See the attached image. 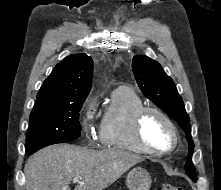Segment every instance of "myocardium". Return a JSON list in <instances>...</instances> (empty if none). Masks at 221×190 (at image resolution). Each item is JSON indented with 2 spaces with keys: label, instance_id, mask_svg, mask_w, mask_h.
I'll return each instance as SVG.
<instances>
[{
  "label": "myocardium",
  "instance_id": "myocardium-1",
  "mask_svg": "<svg viewBox=\"0 0 221 190\" xmlns=\"http://www.w3.org/2000/svg\"><path fill=\"white\" fill-rule=\"evenodd\" d=\"M149 113H154L158 115L160 118L164 120V122L170 128L171 133L173 135V143L169 148L157 150V149L150 147L145 142L142 136V126H143V121L145 117ZM132 133H133L134 140L137 143V145L140 147V149L144 153L152 155V156H163V155L171 153L178 147L179 141H180L179 133L174 122L164 111L154 106H144L136 112L134 119H133Z\"/></svg>",
  "mask_w": 221,
  "mask_h": 190
}]
</instances>
